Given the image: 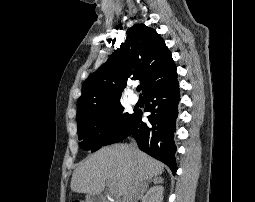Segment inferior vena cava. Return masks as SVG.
Instances as JSON below:
<instances>
[{
    "label": "inferior vena cava",
    "instance_id": "inferior-vena-cava-1",
    "mask_svg": "<svg viewBox=\"0 0 255 202\" xmlns=\"http://www.w3.org/2000/svg\"><path fill=\"white\" fill-rule=\"evenodd\" d=\"M131 148L133 150H136V144H132ZM146 182L135 180L133 181L125 191L122 202H134L136 197L140 195L141 193L145 192Z\"/></svg>",
    "mask_w": 255,
    "mask_h": 202
}]
</instances>
